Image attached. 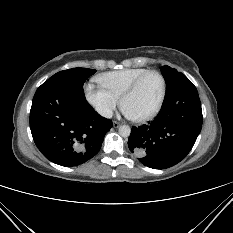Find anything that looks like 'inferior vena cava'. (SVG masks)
<instances>
[{
    "label": "inferior vena cava",
    "instance_id": "1",
    "mask_svg": "<svg viewBox=\"0 0 233 233\" xmlns=\"http://www.w3.org/2000/svg\"><path fill=\"white\" fill-rule=\"evenodd\" d=\"M100 114L103 116V117H106V118H111L112 115H113V112L109 109H103L100 111Z\"/></svg>",
    "mask_w": 233,
    "mask_h": 233
}]
</instances>
